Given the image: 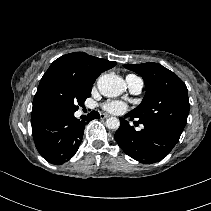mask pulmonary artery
Instances as JSON below:
<instances>
[{"label": "pulmonary artery", "mask_w": 211, "mask_h": 211, "mask_svg": "<svg viewBox=\"0 0 211 211\" xmlns=\"http://www.w3.org/2000/svg\"><path fill=\"white\" fill-rule=\"evenodd\" d=\"M126 81L132 93L138 94L141 92L143 88V81L141 78L129 75L126 78Z\"/></svg>", "instance_id": "pulmonary-artery-1"}]
</instances>
